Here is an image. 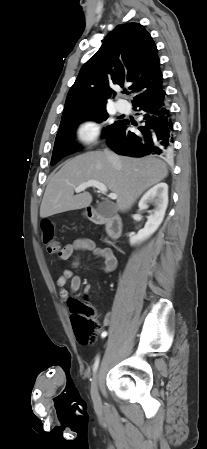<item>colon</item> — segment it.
Returning <instances> with one entry per match:
<instances>
[{"instance_id": "1", "label": "colon", "mask_w": 207, "mask_h": 449, "mask_svg": "<svg viewBox=\"0 0 207 449\" xmlns=\"http://www.w3.org/2000/svg\"><path fill=\"white\" fill-rule=\"evenodd\" d=\"M43 243L48 253H59V243L55 238L51 222L42 224ZM71 324L77 339L85 345H93L98 336L99 323L95 319L96 310L87 302L71 303Z\"/></svg>"}]
</instances>
